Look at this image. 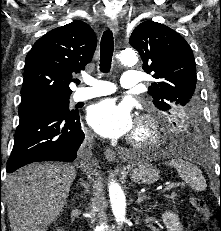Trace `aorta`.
Returning <instances> with one entry per match:
<instances>
[{
  "mask_svg": "<svg viewBox=\"0 0 221 231\" xmlns=\"http://www.w3.org/2000/svg\"><path fill=\"white\" fill-rule=\"evenodd\" d=\"M118 60L124 65L133 66L138 61L137 53L132 48H124L118 54ZM109 197L115 220L121 225L125 222L126 198L121 186L115 181L109 184Z\"/></svg>",
  "mask_w": 221,
  "mask_h": 231,
  "instance_id": "aorta-1",
  "label": "aorta"
}]
</instances>
